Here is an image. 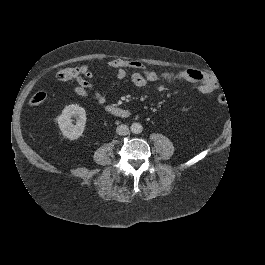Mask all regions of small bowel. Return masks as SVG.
Instances as JSON below:
<instances>
[{
	"instance_id": "1",
	"label": "small bowel",
	"mask_w": 265,
	"mask_h": 265,
	"mask_svg": "<svg viewBox=\"0 0 265 265\" xmlns=\"http://www.w3.org/2000/svg\"><path fill=\"white\" fill-rule=\"evenodd\" d=\"M108 67L115 71L116 78L119 80L126 77L128 69H133L131 81L136 87H144L156 81H185L198 84V89L203 94L212 93L217 88V83L213 78L195 69L155 71L139 61L123 59L109 61ZM81 68L83 69L82 73L74 78L76 81L73 87L74 93L82 98L91 97L99 104H104L105 96L91 82L94 76L93 72L87 65H82Z\"/></svg>"
}]
</instances>
